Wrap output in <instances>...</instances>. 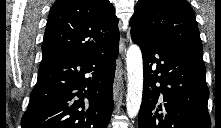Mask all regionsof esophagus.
<instances>
[{
    "label": "esophagus",
    "mask_w": 221,
    "mask_h": 128,
    "mask_svg": "<svg viewBox=\"0 0 221 128\" xmlns=\"http://www.w3.org/2000/svg\"><path fill=\"white\" fill-rule=\"evenodd\" d=\"M122 74H123L122 64L120 61H118L116 71H115L114 83H113V97H114L115 102L118 100L119 92H120L121 85H122V81H123Z\"/></svg>",
    "instance_id": "esophagus-1"
}]
</instances>
